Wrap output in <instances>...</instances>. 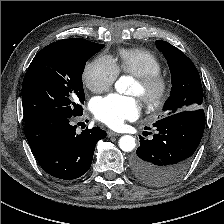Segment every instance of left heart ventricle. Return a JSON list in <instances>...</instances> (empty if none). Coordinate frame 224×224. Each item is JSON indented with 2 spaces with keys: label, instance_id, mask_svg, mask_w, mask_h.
I'll return each mask as SVG.
<instances>
[{
  "label": "left heart ventricle",
  "instance_id": "obj_1",
  "mask_svg": "<svg viewBox=\"0 0 224 224\" xmlns=\"http://www.w3.org/2000/svg\"><path fill=\"white\" fill-rule=\"evenodd\" d=\"M132 94H140V86L137 82H135L131 89Z\"/></svg>",
  "mask_w": 224,
  "mask_h": 224
}]
</instances>
